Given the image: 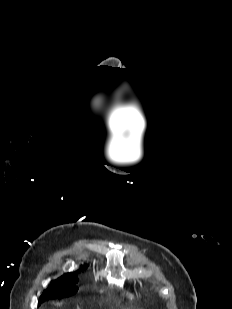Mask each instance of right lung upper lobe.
I'll return each instance as SVG.
<instances>
[{"label": "right lung upper lobe", "mask_w": 232, "mask_h": 309, "mask_svg": "<svg viewBox=\"0 0 232 309\" xmlns=\"http://www.w3.org/2000/svg\"><path fill=\"white\" fill-rule=\"evenodd\" d=\"M85 267H86V265L81 266V270H83ZM78 271H80V270H78ZM77 280H78L77 275L74 272H72V273L64 274L60 278L52 281L51 284L58 286V285L63 284V283H76ZM64 297H69V296H58V297H54V299H56V298H64Z\"/></svg>", "instance_id": "1"}]
</instances>
